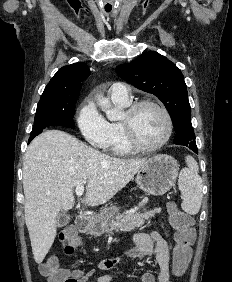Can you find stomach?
Returning <instances> with one entry per match:
<instances>
[{"mask_svg": "<svg viewBox=\"0 0 232 282\" xmlns=\"http://www.w3.org/2000/svg\"><path fill=\"white\" fill-rule=\"evenodd\" d=\"M179 165L168 155H155L145 162L136 175L139 188L149 195L161 196L168 192L175 184ZM118 212L117 207L106 209L100 217L90 220L87 230L90 234L100 236L105 232L106 222Z\"/></svg>", "mask_w": 232, "mask_h": 282, "instance_id": "obj_1", "label": "stomach"}]
</instances>
